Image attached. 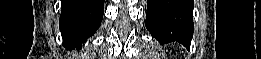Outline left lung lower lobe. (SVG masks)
<instances>
[{
	"label": "left lung lower lobe",
	"mask_w": 261,
	"mask_h": 59,
	"mask_svg": "<svg viewBox=\"0 0 261 59\" xmlns=\"http://www.w3.org/2000/svg\"><path fill=\"white\" fill-rule=\"evenodd\" d=\"M193 0H147L146 27L161 44L179 42L190 47Z\"/></svg>",
	"instance_id": "1"
}]
</instances>
